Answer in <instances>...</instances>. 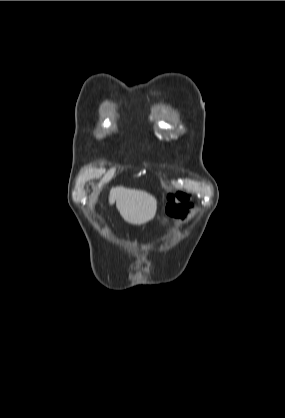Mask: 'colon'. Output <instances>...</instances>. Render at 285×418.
<instances>
[{
	"mask_svg": "<svg viewBox=\"0 0 285 418\" xmlns=\"http://www.w3.org/2000/svg\"><path fill=\"white\" fill-rule=\"evenodd\" d=\"M188 197L180 192H171L168 195L166 207L168 216L174 221L186 220L190 216Z\"/></svg>",
	"mask_w": 285,
	"mask_h": 418,
	"instance_id": "colon-1",
	"label": "colon"
}]
</instances>
